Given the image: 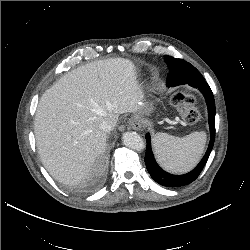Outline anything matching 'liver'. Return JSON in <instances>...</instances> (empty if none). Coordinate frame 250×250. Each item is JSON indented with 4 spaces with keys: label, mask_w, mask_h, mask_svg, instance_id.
Instances as JSON below:
<instances>
[{
    "label": "liver",
    "mask_w": 250,
    "mask_h": 250,
    "mask_svg": "<svg viewBox=\"0 0 250 250\" xmlns=\"http://www.w3.org/2000/svg\"><path fill=\"white\" fill-rule=\"evenodd\" d=\"M142 91L132 62L109 58L65 74L40 98L34 123L41 161L56 180L76 184L106 147L103 120L116 125L123 113L141 109Z\"/></svg>",
    "instance_id": "obj_1"
}]
</instances>
